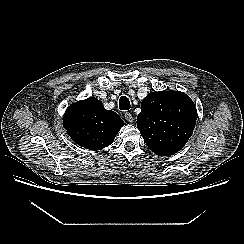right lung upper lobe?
I'll return each instance as SVG.
<instances>
[{
	"label": "right lung upper lobe",
	"mask_w": 244,
	"mask_h": 244,
	"mask_svg": "<svg viewBox=\"0 0 244 244\" xmlns=\"http://www.w3.org/2000/svg\"><path fill=\"white\" fill-rule=\"evenodd\" d=\"M123 125L117 113L106 110L103 103L94 97L71 104L64 115L68 135L89 150L109 146Z\"/></svg>",
	"instance_id": "right-lung-upper-lobe-1"
}]
</instances>
